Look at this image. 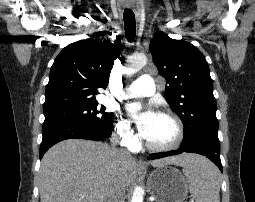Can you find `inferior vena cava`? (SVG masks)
Instances as JSON below:
<instances>
[{
    "label": "inferior vena cava",
    "mask_w": 255,
    "mask_h": 202,
    "mask_svg": "<svg viewBox=\"0 0 255 202\" xmlns=\"http://www.w3.org/2000/svg\"><path fill=\"white\" fill-rule=\"evenodd\" d=\"M115 140V137H113ZM121 155H129V152L124 149H116ZM105 202H125V189L119 184L109 186L105 194Z\"/></svg>",
    "instance_id": "inferior-vena-cava-1"
}]
</instances>
